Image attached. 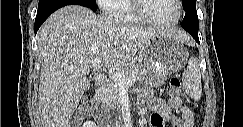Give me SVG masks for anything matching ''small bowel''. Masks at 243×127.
Listing matches in <instances>:
<instances>
[{"label":"small bowel","instance_id":"c3829d8e","mask_svg":"<svg viewBox=\"0 0 243 127\" xmlns=\"http://www.w3.org/2000/svg\"><path fill=\"white\" fill-rule=\"evenodd\" d=\"M147 104L152 107L149 127H193L194 115L188 106L184 105L181 97L172 96L168 102L154 97L151 93L145 94Z\"/></svg>","mask_w":243,"mask_h":127}]
</instances>
